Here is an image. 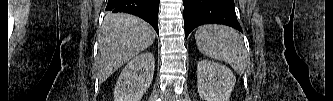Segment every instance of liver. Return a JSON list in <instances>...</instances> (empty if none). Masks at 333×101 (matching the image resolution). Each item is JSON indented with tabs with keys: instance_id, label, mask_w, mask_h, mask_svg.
Instances as JSON below:
<instances>
[{
	"instance_id": "liver-1",
	"label": "liver",
	"mask_w": 333,
	"mask_h": 101,
	"mask_svg": "<svg viewBox=\"0 0 333 101\" xmlns=\"http://www.w3.org/2000/svg\"><path fill=\"white\" fill-rule=\"evenodd\" d=\"M155 31L147 22L125 13L108 14L101 27L95 61L100 82L149 47Z\"/></svg>"
}]
</instances>
